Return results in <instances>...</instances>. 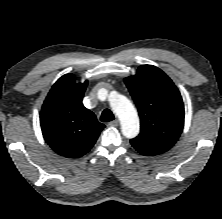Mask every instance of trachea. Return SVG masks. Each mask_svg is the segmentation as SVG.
Wrapping results in <instances>:
<instances>
[{"label": "trachea", "instance_id": "1", "mask_svg": "<svg viewBox=\"0 0 222 219\" xmlns=\"http://www.w3.org/2000/svg\"><path fill=\"white\" fill-rule=\"evenodd\" d=\"M114 118L113 113L109 109H105L101 114L100 120L102 122H109L114 120Z\"/></svg>", "mask_w": 222, "mask_h": 219}]
</instances>
